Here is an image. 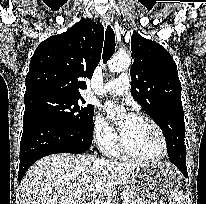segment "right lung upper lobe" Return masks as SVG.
<instances>
[{
  "instance_id": "right-lung-upper-lobe-1",
  "label": "right lung upper lobe",
  "mask_w": 206,
  "mask_h": 204,
  "mask_svg": "<svg viewBox=\"0 0 206 204\" xmlns=\"http://www.w3.org/2000/svg\"><path fill=\"white\" fill-rule=\"evenodd\" d=\"M104 28L91 19H82L66 32L51 36L35 50L26 75L25 98L55 93L81 96L98 65L103 47Z\"/></svg>"
}]
</instances>
